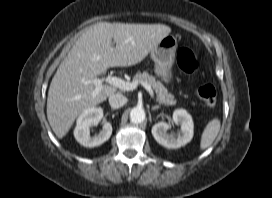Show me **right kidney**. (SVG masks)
Returning <instances> with one entry per match:
<instances>
[{"mask_svg":"<svg viewBox=\"0 0 272 198\" xmlns=\"http://www.w3.org/2000/svg\"><path fill=\"white\" fill-rule=\"evenodd\" d=\"M103 118V109L91 107L84 110L78 117L74 129L75 139L85 147H95L106 142L112 134V125L110 122L103 124L102 130L94 136H90L89 128L97 125Z\"/></svg>","mask_w":272,"mask_h":198,"instance_id":"1","label":"right kidney"}]
</instances>
